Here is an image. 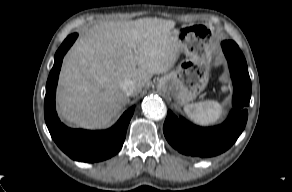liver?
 <instances>
[{"label":"liver","mask_w":292,"mask_h":192,"mask_svg":"<svg viewBox=\"0 0 292 192\" xmlns=\"http://www.w3.org/2000/svg\"><path fill=\"white\" fill-rule=\"evenodd\" d=\"M175 21L142 18L103 22L85 31L67 54L57 92L58 113L76 127L107 125L126 105L121 84L135 83L136 96L154 74L179 57Z\"/></svg>","instance_id":"6515ba94"}]
</instances>
